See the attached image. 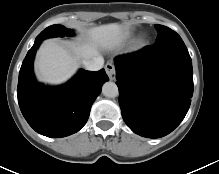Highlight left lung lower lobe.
I'll return each instance as SVG.
<instances>
[{
	"label": "left lung lower lobe",
	"instance_id": "1",
	"mask_svg": "<svg viewBox=\"0 0 219 174\" xmlns=\"http://www.w3.org/2000/svg\"><path fill=\"white\" fill-rule=\"evenodd\" d=\"M122 117L136 134L160 138L188 112L192 60L184 42H163L114 59Z\"/></svg>",
	"mask_w": 219,
	"mask_h": 174
}]
</instances>
